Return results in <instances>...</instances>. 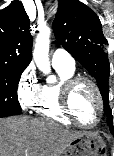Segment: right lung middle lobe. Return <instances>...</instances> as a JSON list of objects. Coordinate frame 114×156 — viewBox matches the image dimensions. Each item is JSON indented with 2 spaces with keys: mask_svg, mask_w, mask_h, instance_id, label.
I'll use <instances>...</instances> for the list:
<instances>
[{
  "mask_svg": "<svg viewBox=\"0 0 114 156\" xmlns=\"http://www.w3.org/2000/svg\"><path fill=\"white\" fill-rule=\"evenodd\" d=\"M24 69L0 64V118L21 114L17 86Z\"/></svg>",
  "mask_w": 114,
  "mask_h": 156,
  "instance_id": "1",
  "label": "right lung middle lobe"
}]
</instances>
